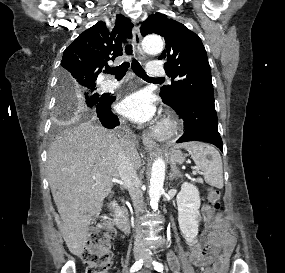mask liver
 <instances>
[{"instance_id":"1","label":"liver","mask_w":285,"mask_h":273,"mask_svg":"<svg viewBox=\"0 0 285 273\" xmlns=\"http://www.w3.org/2000/svg\"><path fill=\"white\" fill-rule=\"evenodd\" d=\"M118 140L115 133L89 122L66 129L50 145L48 180L62 219L60 230L73 255L83 253L91 218L101 212L104 198L119 177L113 156ZM122 142L134 168L139 169L135 143Z\"/></svg>"}]
</instances>
